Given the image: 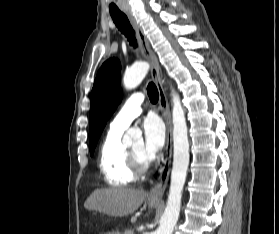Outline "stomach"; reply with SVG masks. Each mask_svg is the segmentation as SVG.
Wrapping results in <instances>:
<instances>
[{
    "label": "stomach",
    "instance_id": "stomach-1",
    "mask_svg": "<svg viewBox=\"0 0 279 234\" xmlns=\"http://www.w3.org/2000/svg\"><path fill=\"white\" fill-rule=\"evenodd\" d=\"M148 204H149L150 207H157L159 205V202L149 200Z\"/></svg>",
    "mask_w": 279,
    "mask_h": 234
}]
</instances>
